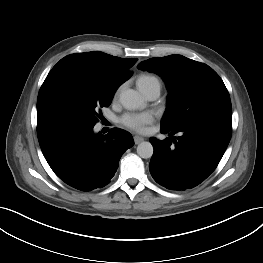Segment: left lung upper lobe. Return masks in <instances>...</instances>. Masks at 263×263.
Listing matches in <instances>:
<instances>
[{"label": "left lung upper lobe", "mask_w": 263, "mask_h": 263, "mask_svg": "<svg viewBox=\"0 0 263 263\" xmlns=\"http://www.w3.org/2000/svg\"><path fill=\"white\" fill-rule=\"evenodd\" d=\"M138 69L161 76L169 91L161 127L176 129L205 118L232 121V106L222 79L208 65L181 55L150 58Z\"/></svg>", "instance_id": "1"}]
</instances>
